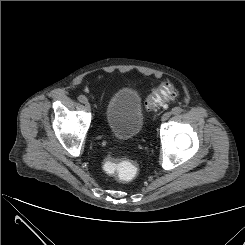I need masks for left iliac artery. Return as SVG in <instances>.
<instances>
[{
    "label": "left iliac artery",
    "mask_w": 245,
    "mask_h": 245,
    "mask_svg": "<svg viewBox=\"0 0 245 245\" xmlns=\"http://www.w3.org/2000/svg\"><path fill=\"white\" fill-rule=\"evenodd\" d=\"M182 112V108L181 107H174L173 109H172V114H174V115H178V114H180Z\"/></svg>",
    "instance_id": "obj_1"
}]
</instances>
